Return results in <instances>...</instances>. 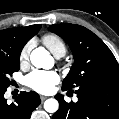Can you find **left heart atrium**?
Instances as JSON below:
<instances>
[{
	"instance_id": "39dd6f15",
	"label": "left heart atrium",
	"mask_w": 119,
	"mask_h": 119,
	"mask_svg": "<svg viewBox=\"0 0 119 119\" xmlns=\"http://www.w3.org/2000/svg\"><path fill=\"white\" fill-rule=\"evenodd\" d=\"M59 81V75L55 71L34 70L25 78V84L35 91L47 93L52 91Z\"/></svg>"
}]
</instances>
